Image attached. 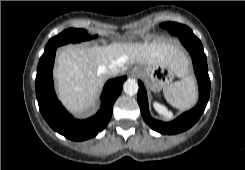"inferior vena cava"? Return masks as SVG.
<instances>
[{
  "instance_id": "inferior-vena-cava-1",
  "label": "inferior vena cava",
  "mask_w": 245,
  "mask_h": 170,
  "mask_svg": "<svg viewBox=\"0 0 245 170\" xmlns=\"http://www.w3.org/2000/svg\"><path fill=\"white\" fill-rule=\"evenodd\" d=\"M103 72L109 76H116L120 69L115 64H109L107 67L103 68Z\"/></svg>"
}]
</instances>
